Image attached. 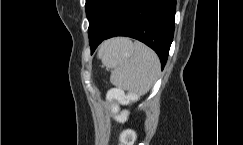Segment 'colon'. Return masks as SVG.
Wrapping results in <instances>:
<instances>
[{
  "mask_svg": "<svg viewBox=\"0 0 243 145\" xmlns=\"http://www.w3.org/2000/svg\"><path fill=\"white\" fill-rule=\"evenodd\" d=\"M135 95L131 94L128 97L125 96V94L117 88H114L109 91L108 93V100L109 101H125L128 98H134ZM135 141V134L131 130H126L121 134L120 137V145H133Z\"/></svg>",
  "mask_w": 243,
  "mask_h": 145,
  "instance_id": "1",
  "label": "colon"
}]
</instances>
